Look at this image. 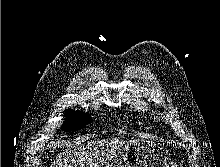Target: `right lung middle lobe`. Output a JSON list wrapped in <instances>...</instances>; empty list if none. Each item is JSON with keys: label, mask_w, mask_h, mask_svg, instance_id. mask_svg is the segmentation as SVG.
I'll list each match as a JSON object with an SVG mask.
<instances>
[{"label": "right lung middle lobe", "mask_w": 220, "mask_h": 167, "mask_svg": "<svg viewBox=\"0 0 220 167\" xmlns=\"http://www.w3.org/2000/svg\"><path fill=\"white\" fill-rule=\"evenodd\" d=\"M65 116L66 121L62 125V130L66 132L82 129L90 121V117L87 113L75 110H66Z\"/></svg>", "instance_id": "1"}]
</instances>
